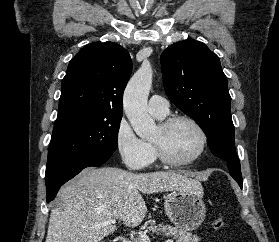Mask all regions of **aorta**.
I'll return each instance as SVG.
<instances>
[{"label": "aorta", "instance_id": "762f6f07", "mask_svg": "<svg viewBox=\"0 0 279 242\" xmlns=\"http://www.w3.org/2000/svg\"><path fill=\"white\" fill-rule=\"evenodd\" d=\"M153 71L149 65H142L126 86L123 108L135 133L141 139H148L156 130L154 119L147 111V98L152 85Z\"/></svg>", "mask_w": 279, "mask_h": 242}]
</instances>
